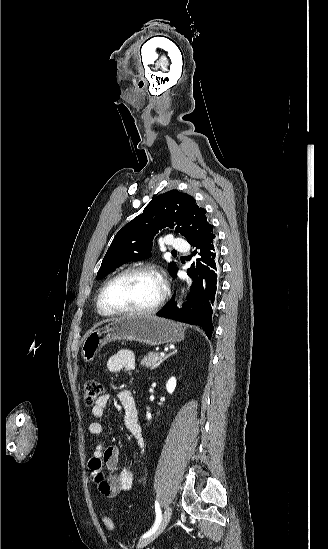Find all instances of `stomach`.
I'll use <instances>...</instances> for the list:
<instances>
[{
	"mask_svg": "<svg viewBox=\"0 0 328 549\" xmlns=\"http://www.w3.org/2000/svg\"><path fill=\"white\" fill-rule=\"evenodd\" d=\"M184 335L185 327L182 323L154 315H125L120 319H112L102 329L89 331L83 339L81 357L85 363H91L100 349L111 341H138L156 347L163 343H180Z\"/></svg>",
	"mask_w": 328,
	"mask_h": 549,
	"instance_id": "1",
	"label": "stomach"
}]
</instances>
